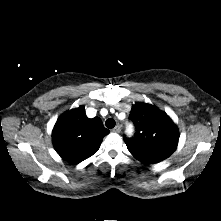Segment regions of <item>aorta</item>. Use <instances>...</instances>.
I'll use <instances>...</instances> for the list:
<instances>
[{"instance_id": "obj_1", "label": "aorta", "mask_w": 221, "mask_h": 221, "mask_svg": "<svg viewBox=\"0 0 221 221\" xmlns=\"http://www.w3.org/2000/svg\"><path fill=\"white\" fill-rule=\"evenodd\" d=\"M131 131H132L131 128H129V129H128V133H131Z\"/></svg>"}]
</instances>
